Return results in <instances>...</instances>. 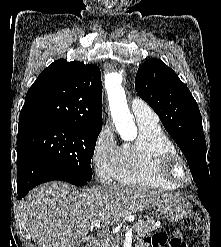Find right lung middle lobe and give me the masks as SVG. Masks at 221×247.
I'll return each instance as SVG.
<instances>
[{"label":"right lung middle lobe","instance_id":"1","mask_svg":"<svg viewBox=\"0 0 221 247\" xmlns=\"http://www.w3.org/2000/svg\"><path fill=\"white\" fill-rule=\"evenodd\" d=\"M99 133L71 123L29 126L18 129L17 149L34 151L75 177L90 181V164Z\"/></svg>","mask_w":221,"mask_h":247}]
</instances>
